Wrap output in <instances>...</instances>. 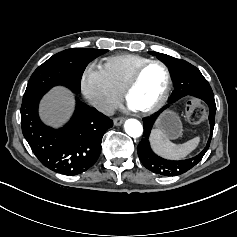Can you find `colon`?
Instances as JSON below:
<instances>
[{
  "instance_id": "1",
  "label": "colon",
  "mask_w": 237,
  "mask_h": 237,
  "mask_svg": "<svg viewBox=\"0 0 237 237\" xmlns=\"http://www.w3.org/2000/svg\"><path fill=\"white\" fill-rule=\"evenodd\" d=\"M186 117L190 123L198 124L207 118V110L198 99L193 98L186 105Z\"/></svg>"
}]
</instances>
